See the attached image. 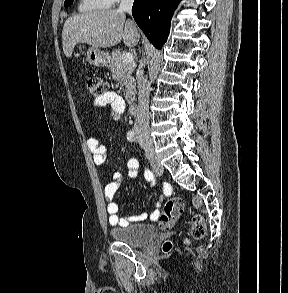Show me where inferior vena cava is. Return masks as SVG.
Instances as JSON below:
<instances>
[{
    "instance_id": "1",
    "label": "inferior vena cava",
    "mask_w": 288,
    "mask_h": 293,
    "mask_svg": "<svg viewBox=\"0 0 288 293\" xmlns=\"http://www.w3.org/2000/svg\"><path fill=\"white\" fill-rule=\"evenodd\" d=\"M134 0H121L118 12L131 13ZM143 64L136 74L138 84V113L134 125L135 133L139 137L149 139V92L150 85L142 70Z\"/></svg>"
}]
</instances>
